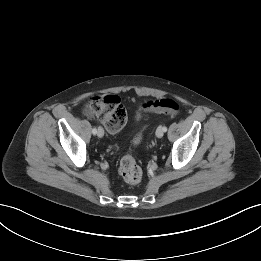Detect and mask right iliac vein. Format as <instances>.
I'll return each mask as SVG.
<instances>
[{
	"label": "right iliac vein",
	"instance_id": "63e3f726",
	"mask_svg": "<svg viewBox=\"0 0 261 261\" xmlns=\"http://www.w3.org/2000/svg\"><path fill=\"white\" fill-rule=\"evenodd\" d=\"M98 137L102 138L104 136V130L103 128L99 127L97 131Z\"/></svg>",
	"mask_w": 261,
	"mask_h": 261
}]
</instances>
